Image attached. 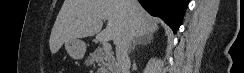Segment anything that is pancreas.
I'll return each mask as SVG.
<instances>
[{
  "instance_id": "1",
  "label": "pancreas",
  "mask_w": 244,
  "mask_h": 73,
  "mask_svg": "<svg viewBox=\"0 0 244 73\" xmlns=\"http://www.w3.org/2000/svg\"><path fill=\"white\" fill-rule=\"evenodd\" d=\"M96 63H98L99 66L105 64L108 67V69L112 71V73H116V71L118 70L117 63L115 61L113 53H106L101 48L96 49L94 52L90 53L86 60L87 65L95 66Z\"/></svg>"
}]
</instances>
